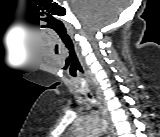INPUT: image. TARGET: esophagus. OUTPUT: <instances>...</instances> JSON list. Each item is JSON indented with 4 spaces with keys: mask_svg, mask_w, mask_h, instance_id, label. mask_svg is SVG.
I'll return each mask as SVG.
<instances>
[{
    "mask_svg": "<svg viewBox=\"0 0 160 137\" xmlns=\"http://www.w3.org/2000/svg\"><path fill=\"white\" fill-rule=\"evenodd\" d=\"M99 99L101 98L99 97ZM101 111H102L103 118L106 120L107 125H108V136L107 137H116L114 133V129L110 123V118L108 115L107 108L103 104L101 105Z\"/></svg>",
    "mask_w": 160,
    "mask_h": 137,
    "instance_id": "obj_1",
    "label": "esophagus"
}]
</instances>
